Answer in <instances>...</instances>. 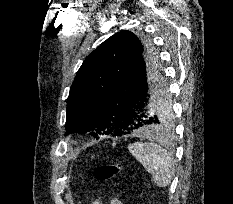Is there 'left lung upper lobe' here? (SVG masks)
I'll use <instances>...</instances> for the list:
<instances>
[{"mask_svg":"<svg viewBox=\"0 0 233 204\" xmlns=\"http://www.w3.org/2000/svg\"><path fill=\"white\" fill-rule=\"evenodd\" d=\"M152 58L157 54L151 42L129 31H120L97 47L83 62L70 88L65 135L89 133L96 139L122 135L124 131L116 121L119 103L139 64ZM154 115L158 131L172 129L174 113L167 88Z\"/></svg>","mask_w":233,"mask_h":204,"instance_id":"1","label":"left lung upper lobe"}]
</instances>
